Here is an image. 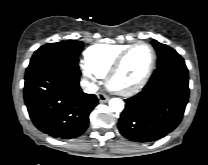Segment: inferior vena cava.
Masks as SVG:
<instances>
[{"mask_svg":"<svg viewBox=\"0 0 208 165\" xmlns=\"http://www.w3.org/2000/svg\"><path fill=\"white\" fill-rule=\"evenodd\" d=\"M81 86L86 93H95L98 89L95 84L89 83L88 81H82Z\"/></svg>","mask_w":208,"mask_h":165,"instance_id":"602c4592","label":"inferior vena cava"}]
</instances>
